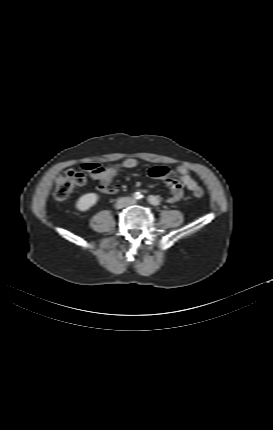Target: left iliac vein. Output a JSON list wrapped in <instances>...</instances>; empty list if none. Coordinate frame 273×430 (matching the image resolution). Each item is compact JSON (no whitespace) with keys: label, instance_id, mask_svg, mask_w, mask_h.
<instances>
[{"label":"left iliac vein","instance_id":"left-iliac-vein-1","mask_svg":"<svg viewBox=\"0 0 273 430\" xmlns=\"http://www.w3.org/2000/svg\"><path fill=\"white\" fill-rule=\"evenodd\" d=\"M137 202L135 200H129L128 204H136Z\"/></svg>","mask_w":273,"mask_h":430}]
</instances>
